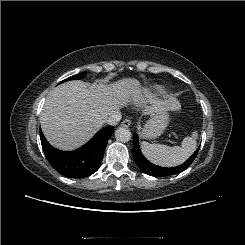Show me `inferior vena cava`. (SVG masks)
Segmentation results:
<instances>
[{"label": "inferior vena cava", "instance_id": "inferior-vena-cava-1", "mask_svg": "<svg viewBox=\"0 0 245 245\" xmlns=\"http://www.w3.org/2000/svg\"><path fill=\"white\" fill-rule=\"evenodd\" d=\"M121 120V113L117 112L115 114H112L111 116H109L106 120L105 123L108 125H112L115 126L118 124V122Z\"/></svg>", "mask_w": 245, "mask_h": 245}]
</instances>
